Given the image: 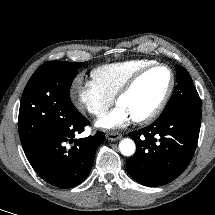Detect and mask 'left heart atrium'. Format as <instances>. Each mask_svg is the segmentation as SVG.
Returning a JSON list of instances; mask_svg holds the SVG:
<instances>
[{
    "mask_svg": "<svg viewBox=\"0 0 215 215\" xmlns=\"http://www.w3.org/2000/svg\"><path fill=\"white\" fill-rule=\"evenodd\" d=\"M134 118L121 105H117L107 114L96 121V126L104 130H114L127 126Z\"/></svg>",
    "mask_w": 215,
    "mask_h": 215,
    "instance_id": "left-heart-atrium-1",
    "label": "left heart atrium"
}]
</instances>
